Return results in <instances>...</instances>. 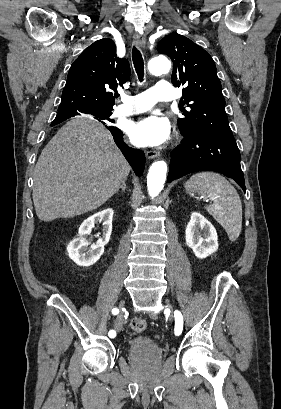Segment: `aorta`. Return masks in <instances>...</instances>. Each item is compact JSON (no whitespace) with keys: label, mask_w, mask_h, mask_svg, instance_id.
Returning a JSON list of instances; mask_svg holds the SVG:
<instances>
[{"label":"aorta","mask_w":281,"mask_h":409,"mask_svg":"<svg viewBox=\"0 0 281 409\" xmlns=\"http://www.w3.org/2000/svg\"><path fill=\"white\" fill-rule=\"evenodd\" d=\"M171 62L164 56L151 59L148 63V70L152 75L159 76L170 71ZM167 174V164L165 161L154 162L147 175V187L151 197L157 196L165 183Z\"/></svg>","instance_id":"1"}]
</instances>
